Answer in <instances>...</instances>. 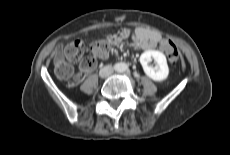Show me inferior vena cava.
<instances>
[{
  "label": "inferior vena cava",
  "instance_id": "1",
  "mask_svg": "<svg viewBox=\"0 0 230 155\" xmlns=\"http://www.w3.org/2000/svg\"><path fill=\"white\" fill-rule=\"evenodd\" d=\"M113 73V68L111 66H105L100 70L101 77H108Z\"/></svg>",
  "mask_w": 230,
  "mask_h": 155
}]
</instances>
